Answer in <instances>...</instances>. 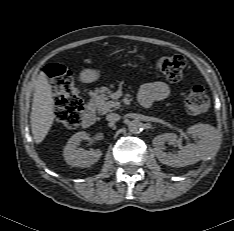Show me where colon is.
Returning a JSON list of instances; mask_svg holds the SVG:
<instances>
[{
    "mask_svg": "<svg viewBox=\"0 0 234 231\" xmlns=\"http://www.w3.org/2000/svg\"><path fill=\"white\" fill-rule=\"evenodd\" d=\"M185 59L181 55H170L160 59L157 67L170 81H179L185 69ZM45 73L50 79L51 87L57 98L55 119L66 129L80 125L83 103L75 88L67 68L58 63L46 66ZM209 108V99L201 86H194L186 100L185 109L189 114L199 115Z\"/></svg>",
    "mask_w": 234,
    "mask_h": 231,
    "instance_id": "colon-1",
    "label": "colon"
}]
</instances>
